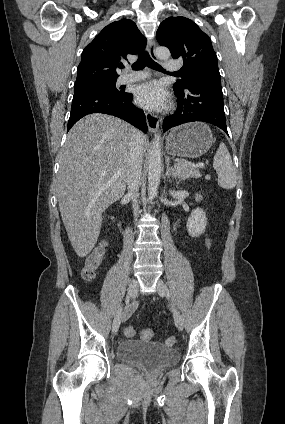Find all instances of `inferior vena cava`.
<instances>
[{"mask_svg": "<svg viewBox=\"0 0 285 424\" xmlns=\"http://www.w3.org/2000/svg\"><path fill=\"white\" fill-rule=\"evenodd\" d=\"M140 132H137L131 142L130 152L127 159V185L129 196L133 200L134 216L138 213V190L142 171L143 151L139 142Z\"/></svg>", "mask_w": 285, "mask_h": 424, "instance_id": "obj_1", "label": "inferior vena cava"}]
</instances>
